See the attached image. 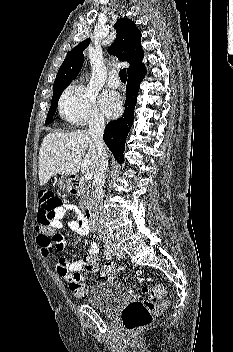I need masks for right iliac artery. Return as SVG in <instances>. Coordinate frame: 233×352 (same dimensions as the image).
<instances>
[{"label":"right iliac artery","instance_id":"right-iliac-artery-1","mask_svg":"<svg viewBox=\"0 0 233 352\" xmlns=\"http://www.w3.org/2000/svg\"><path fill=\"white\" fill-rule=\"evenodd\" d=\"M104 257H105V259H111V251L110 250H105L104 251Z\"/></svg>","mask_w":233,"mask_h":352}]
</instances>
